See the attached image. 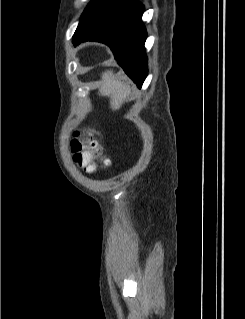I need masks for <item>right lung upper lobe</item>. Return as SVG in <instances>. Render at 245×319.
<instances>
[{
	"label": "right lung upper lobe",
	"instance_id": "right-lung-upper-lobe-1",
	"mask_svg": "<svg viewBox=\"0 0 245 319\" xmlns=\"http://www.w3.org/2000/svg\"><path fill=\"white\" fill-rule=\"evenodd\" d=\"M83 20H84V17L82 16V17H81V20H80V23H79V26H78V28H77L76 31H81V30L87 29V28L82 27V25H81V23H82ZM88 28H89V27H88Z\"/></svg>",
	"mask_w": 245,
	"mask_h": 319
}]
</instances>
